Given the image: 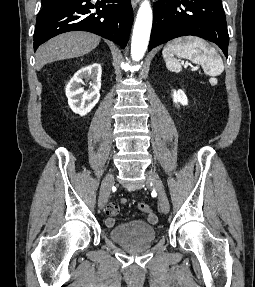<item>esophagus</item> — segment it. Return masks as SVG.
<instances>
[{
    "label": "esophagus",
    "instance_id": "1",
    "mask_svg": "<svg viewBox=\"0 0 255 287\" xmlns=\"http://www.w3.org/2000/svg\"><path fill=\"white\" fill-rule=\"evenodd\" d=\"M139 1H140V0H131L132 7H133V8H136V6H137V4H138Z\"/></svg>",
    "mask_w": 255,
    "mask_h": 287
}]
</instances>
